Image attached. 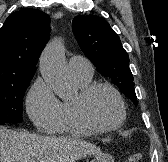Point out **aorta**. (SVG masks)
Returning <instances> with one entry per match:
<instances>
[{
  "instance_id": "762f6f07",
  "label": "aorta",
  "mask_w": 168,
  "mask_h": 162,
  "mask_svg": "<svg viewBox=\"0 0 168 162\" xmlns=\"http://www.w3.org/2000/svg\"><path fill=\"white\" fill-rule=\"evenodd\" d=\"M40 71L60 98L69 99L74 96V84L64 62V46L60 40L49 43L43 50Z\"/></svg>"
}]
</instances>
